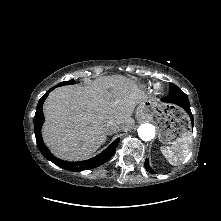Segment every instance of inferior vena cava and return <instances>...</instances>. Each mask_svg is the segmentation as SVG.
Segmentation results:
<instances>
[{
    "instance_id": "602c4592",
    "label": "inferior vena cava",
    "mask_w": 221,
    "mask_h": 221,
    "mask_svg": "<svg viewBox=\"0 0 221 221\" xmlns=\"http://www.w3.org/2000/svg\"><path fill=\"white\" fill-rule=\"evenodd\" d=\"M105 130L107 134L115 133L120 130V127L113 121H108L105 124Z\"/></svg>"
}]
</instances>
